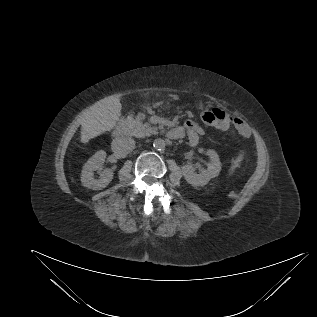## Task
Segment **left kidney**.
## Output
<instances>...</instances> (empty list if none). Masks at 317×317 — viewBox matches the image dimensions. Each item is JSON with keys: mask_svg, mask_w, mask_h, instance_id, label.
I'll list each match as a JSON object with an SVG mask.
<instances>
[{"mask_svg": "<svg viewBox=\"0 0 317 317\" xmlns=\"http://www.w3.org/2000/svg\"><path fill=\"white\" fill-rule=\"evenodd\" d=\"M206 154L210 159L207 170L196 173L191 165L187 164L182 167L185 180L192 186L206 185L210 179L217 177L221 171V162L216 151L209 149L206 151Z\"/></svg>", "mask_w": 317, "mask_h": 317, "instance_id": "5707ae66", "label": "left kidney"}]
</instances>
